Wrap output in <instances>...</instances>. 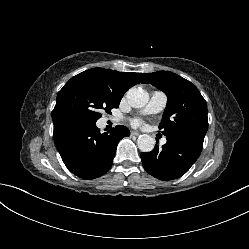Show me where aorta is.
Here are the masks:
<instances>
[{
    "label": "aorta",
    "mask_w": 249,
    "mask_h": 249,
    "mask_svg": "<svg viewBox=\"0 0 249 249\" xmlns=\"http://www.w3.org/2000/svg\"><path fill=\"white\" fill-rule=\"evenodd\" d=\"M126 98L130 106L141 108L147 104L149 95L140 87H132L127 91ZM137 145L142 152H150L154 149L155 140L150 135L143 134L137 139Z\"/></svg>",
    "instance_id": "aorta-1"
}]
</instances>
